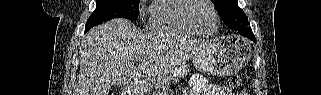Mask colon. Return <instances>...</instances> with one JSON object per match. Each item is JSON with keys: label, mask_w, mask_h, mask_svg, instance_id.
I'll return each mask as SVG.
<instances>
[{"label": "colon", "mask_w": 321, "mask_h": 95, "mask_svg": "<svg viewBox=\"0 0 321 95\" xmlns=\"http://www.w3.org/2000/svg\"><path fill=\"white\" fill-rule=\"evenodd\" d=\"M229 83L233 87H240L243 84V78L240 75L230 77Z\"/></svg>", "instance_id": "obj_1"}]
</instances>
